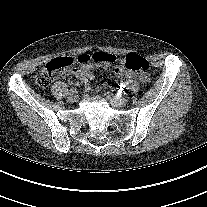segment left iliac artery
Segmentation results:
<instances>
[{"label":"left iliac artery","mask_w":207,"mask_h":207,"mask_svg":"<svg viewBox=\"0 0 207 207\" xmlns=\"http://www.w3.org/2000/svg\"><path fill=\"white\" fill-rule=\"evenodd\" d=\"M120 97L124 100H127L129 98V94L128 93H124V92H121L120 93Z\"/></svg>","instance_id":"1"}]
</instances>
